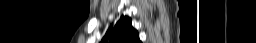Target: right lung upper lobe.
<instances>
[{"label": "right lung upper lobe", "instance_id": "right-lung-upper-lobe-1", "mask_svg": "<svg viewBox=\"0 0 256 43\" xmlns=\"http://www.w3.org/2000/svg\"><path fill=\"white\" fill-rule=\"evenodd\" d=\"M104 43H141L138 32L132 27V20L127 16H121L111 25L105 37Z\"/></svg>", "mask_w": 256, "mask_h": 43}]
</instances>
